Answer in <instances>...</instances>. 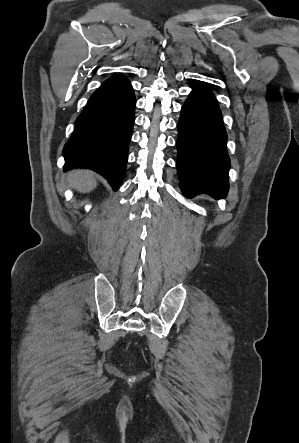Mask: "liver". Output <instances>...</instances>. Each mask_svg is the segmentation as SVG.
I'll list each match as a JSON object with an SVG mask.
<instances>
[{"mask_svg": "<svg viewBox=\"0 0 299 443\" xmlns=\"http://www.w3.org/2000/svg\"><path fill=\"white\" fill-rule=\"evenodd\" d=\"M69 185L78 192L87 193L97 186L94 172L86 169H75L68 173Z\"/></svg>", "mask_w": 299, "mask_h": 443, "instance_id": "liver-1", "label": "liver"}]
</instances>
